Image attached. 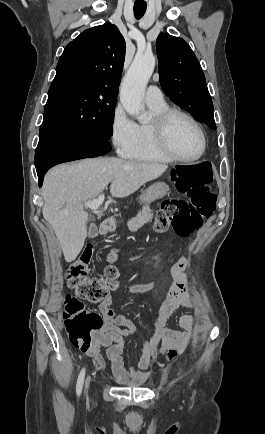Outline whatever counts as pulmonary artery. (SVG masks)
Instances as JSON below:
<instances>
[{
	"mask_svg": "<svg viewBox=\"0 0 265 434\" xmlns=\"http://www.w3.org/2000/svg\"><path fill=\"white\" fill-rule=\"evenodd\" d=\"M165 99V92L160 90V87L150 85L145 92V102L148 105L160 103Z\"/></svg>",
	"mask_w": 265,
	"mask_h": 434,
	"instance_id": "obj_1",
	"label": "pulmonary artery"
}]
</instances>
